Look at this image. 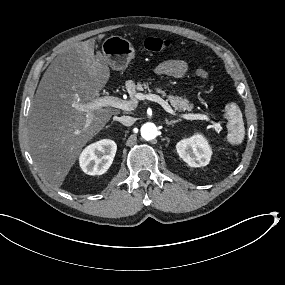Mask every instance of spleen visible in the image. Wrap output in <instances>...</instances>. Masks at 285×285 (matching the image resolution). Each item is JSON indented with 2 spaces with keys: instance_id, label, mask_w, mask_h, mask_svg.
Returning a JSON list of instances; mask_svg holds the SVG:
<instances>
[{
  "instance_id": "spleen-1",
  "label": "spleen",
  "mask_w": 285,
  "mask_h": 285,
  "mask_svg": "<svg viewBox=\"0 0 285 285\" xmlns=\"http://www.w3.org/2000/svg\"><path fill=\"white\" fill-rule=\"evenodd\" d=\"M244 138H245V129L242 128V130H241V138H240V142L241 143L244 141Z\"/></svg>"
}]
</instances>
